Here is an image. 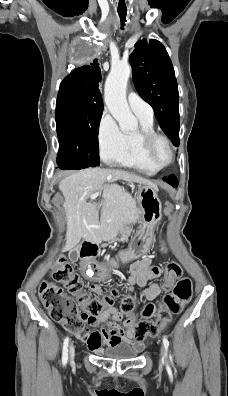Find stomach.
<instances>
[{"instance_id":"stomach-1","label":"stomach","mask_w":228,"mask_h":396,"mask_svg":"<svg viewBox=\"0 0 228 396\" xmlns=\"http://www.w3.org/2000/svg\"><path fill=\"white\" fill-rule=\"evenodd\" d=\"M140 226L132 236L127 254L131 259L139 258L148 253L153 241L156 224L162 218V204L158 197V188L140 184L137 192Z\"/></svg>"}]
</instances>
